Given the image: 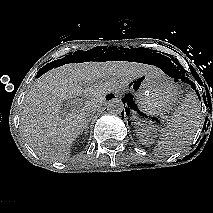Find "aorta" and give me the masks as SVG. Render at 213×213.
Segmentation results:
<instances>
[{
  "label": "aorta",
  "mask_w": 213,
  "mask_h": 213,
  "mask_svg": "<svg viewBox=\"0 0 213 213\" xmlns=\"http://www.w3.org/2000/svg\"><path fill=\"white\" fill-rule=\"evenodd\" d=\"M124 109L123 102L120 99L114 98L107 103V110L112 114H121Z\"/></svg>",
  "instance_id": "1"
}]
</instances>
